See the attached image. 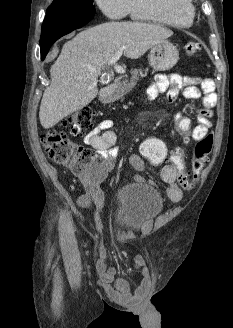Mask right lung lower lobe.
Segmentation results:
<instances>
[{
  "label": "right lung lower lobe",
  "instance_id": "obj_1",
  "mask_svg": "<svg viewBox=\"0 0 233 328\" xmlns=\"http://www.w3.org/2000/svg\"><path fill=\"white\" fill-rule=\"evenodd\" d=\"M94 14H47L42 24L40 39L41 60L45 58L51 45L56 40L84 26L93 18Z\"/></svg>",
  "mask_w": 233,
  "mask_h": 328
}]
</instances>
